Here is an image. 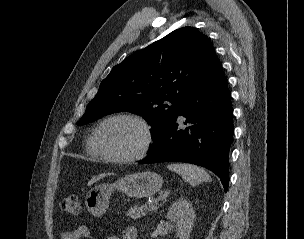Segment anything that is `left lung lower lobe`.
I'll list each match as a JSON object with an SVG mask.
<instances>
[{
  "mask_svg": "<svg viewBox=\"0 0 304 239\" xmlns=\"http://www.w3.org/2000/svg\"><path fill=\"white\" fill-rule=\"evenodd\" d=\"M233 110L226 78L219 61L183 100L165 132L140 164L178 161L203 166L229 185V150ZM185 117L184 125L177 121Z\"/></svg>",
  "mask_w": 304,
  "mask_h": 239,
  "instance_id": "1",
  "label": "left lung lower lobe"
}]
</instances>
